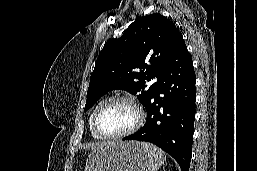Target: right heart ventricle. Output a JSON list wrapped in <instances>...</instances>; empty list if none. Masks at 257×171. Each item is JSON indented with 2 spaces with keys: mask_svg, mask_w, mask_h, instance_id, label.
<instances>
[{
  "mask_svg": "<svg viewBox=\"0 0 257 171\" xmlns=\"http://www.w3.org/2000/svg\"><path fill=\"white\" fill-rule=\"evenodd\" d=\"M102 102H104V101H102ZM102 102L98 103V104L94 107V109L92 110V112H91V114H90V116H89V128H90V132H91V135H92L94 138H96V139H102V138H100L99 136H97V135L94 133V131H93V129H92V119H93V115H94L96 109L99 107V105H100Z\"/></svg>",
  "mask_w": 257,
  "mask_h": 171,
  "instance_id": "right-heart-ventricle-1",
  "label": "right heart ventricle"
}]
</instances>
